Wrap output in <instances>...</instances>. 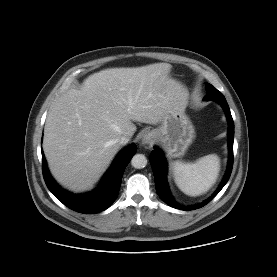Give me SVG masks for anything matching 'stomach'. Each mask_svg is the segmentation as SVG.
I'll use <instances>...</instances> for the list:
<instances>
[{"instance_id": "1", "label": "stomach", "mask_w": 277, "mask_h": 277, "mask_svg": "<svg viewBox=\"0 0 277 277\" xmlns=\"http://www.w3.org/2000/svg\"><path fill=\"white\" fill-rule=\"evenodd\" d=\"M185 107H174L163 117L160 126L150 132L172 158L182 157L195 138L194 127L185 114Z\"/></svg>"}]
</instances>
